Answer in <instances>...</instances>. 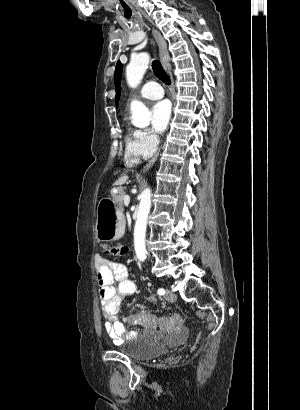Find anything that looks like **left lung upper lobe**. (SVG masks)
Listing matches in <instances>:
<instances>
[{
  "label": "left lung upper lobe",
  "mask_w": 300,
  "mask_h": 410,
  "mask_svg": "<svg viewBox=\"0 0 300 410\" xmlns=\"http://www.w3.org/2000/svg\"><path fill=\"white\" fill-rule=\"evenodd\" d=\"M121 74H122V64L120 61H118L116 68H115V87H116V106H118V100L120 96V79H121Z\"/></svg>",
  "instance_id": "obj_1"
}]
</instances>
